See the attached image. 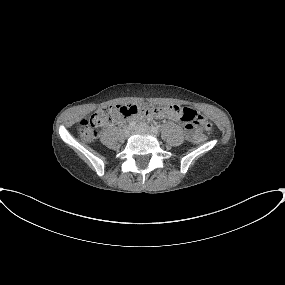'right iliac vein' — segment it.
<instances>
[{
    "instance_id": "right-iliac-vein-1",
    "label": "right iliac vein",
    "mask_w": 285,
    "mask_h": 285,
    "mask_svg": "<svg viewBox=\"0 0 285 285\" xmlns=\"http://www.w3.org/2000/svg\"><path fill=\"white\" fill-rule=\"evenodd\" d=\"M132 133V128L127 127L124 129V135L128 137Z\"/></svg>"
}]
</instances>
